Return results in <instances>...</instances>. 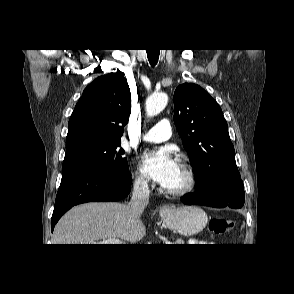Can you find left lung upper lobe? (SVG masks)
Segmentation results:
<instances>
[{"instance_id": "left-lung-upper-lobe-1", "label": "left lung upper lobe", "mask_w": 294, "mask_h": 294, "mask_svg": "<svg viewBox=\"0 0 294 294\" xmlns=\"http://www.w3.org/2000/svg\"><path fill=\"white\" fill-rule=\"evenodd\" d=\"M174 123L193 166L198 194L221 180H239L227 123L216 100L193 83L174 93Z\"/></svg>"}]
</instances>
